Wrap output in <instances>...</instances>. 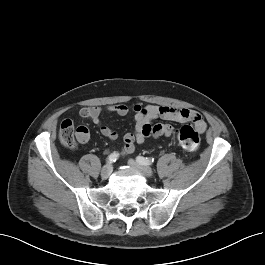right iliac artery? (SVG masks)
Instances as JSON below:
<instances>
[{
  "label": "right iliac artery",
  "instance_id": "right-iliac-artery-1",
  "mask_svg": "<svg viewBox=\"0 0 265 265\" xmlns=\"http://www.w3.org/2000/svg\"><path fill=\"white\" fill-rule=\"evenodd\" d=\"M118 157H119V154L117 152H113L108 156L107 162L111 164L115 162L118 159Z\"/></svg>",
  "mask_w": 265,
  "mask_h": 265
}]
</instances>
